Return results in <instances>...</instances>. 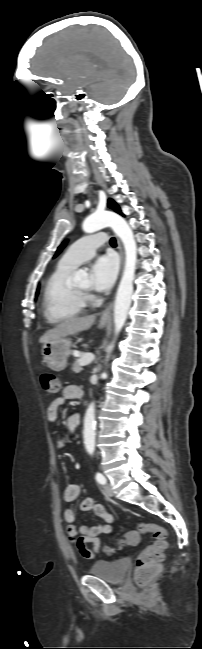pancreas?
Segmentation results:
<instances>
[{"label": "pancreas", "mask_w": 202, "mask_h": 649, "mask_svg": "<svg viewBox=\"0 0 202 649\" xmlns=\"http://www.w3.org/2000/svg\"><path fill=\"white\" fill-rule=\"evenodd\" d=\"M83 355H85V354H83ZM72 370L75 373H80L83 370L82 366L80 365V359H78V360H76L74 362Z\"/></svg>", "instance_id": "1"}]
</instances>
